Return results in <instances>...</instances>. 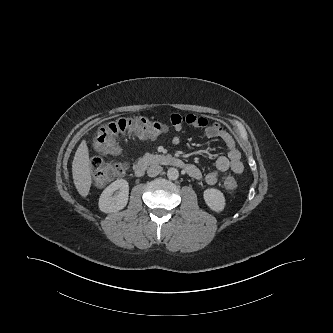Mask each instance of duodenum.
<instances>
[{
	"label": "duodenum",
	"instance_id": "410a0bca",
	"mask_svg": "<svg viewBox=\"0 0 333 333\" xmlns=\"http://www.w3.org/2000/svg\"><path fill=\"white\" fill-rule=\"evenodd\" d=\"M153 164L174 166L187 171L190 170V165L177 157L165 154H155L144 156L136 162L134 166L135 176L139 177L143 175L146 169Z\"/></svg>",
	"mask_w": 333,
	"mask_h": 333
}]
</instances>
